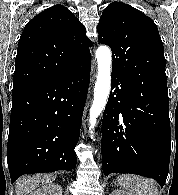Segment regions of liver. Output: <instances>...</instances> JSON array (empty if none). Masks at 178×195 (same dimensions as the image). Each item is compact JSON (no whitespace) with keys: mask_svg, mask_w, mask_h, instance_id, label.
Here are the masks:
<instances>
[{"mask_svg":"<svg viewBox=\"0 0 178 195\" xmlns=\"http://www.w3.org/2000/svg\"><path fill=\"white\" fill-rule=\"evenodd\" d=\"M55 179L52 174H36L21 177L16 182V195H28L39 186L51 183Z\"/></svg>","mask_w":178,"mask_h":195,"instance_id":"obj_1","label":"liver"}]
</instances>
